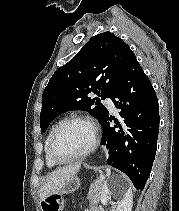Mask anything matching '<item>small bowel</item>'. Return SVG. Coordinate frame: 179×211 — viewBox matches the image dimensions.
<instances>
[{"mask_svg": "<svg viewBox=\"0 0 179 211\" xmlns=\"http://www.w3.org/2000/svg\"><path fill=\"white\" fill-rule=\"evenodd\" d=\"M90 211H98V209L97 208H93Z\"/></svg>", "mask_w": 179, "mask_h": 211, "instance_id": "c3829d8e", "label": "small bowel"}]
</instances>
